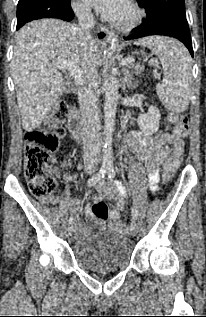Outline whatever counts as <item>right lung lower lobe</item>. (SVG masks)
<instances>
[{
	"label": "right lung lower lobe",
	"instance_id": "right-lung-lower-lobe-1",
	"mask_svg": "<svg viewBox=\"0 0 206 317\" xmlns=\"http://www.w3.org/2000/svg\"><path fill=\"white\" fill-rule=\"evenodd\" d=\"M57 18L59 19H63V20H66V21H70L73 19L74 17V13L71 9V7H69L67 10H60L57 14ZM19 28H17L18 30Z\"/></svg>",
	"mask_w": 206,
	"mask_h": 317
}]
</instances>
